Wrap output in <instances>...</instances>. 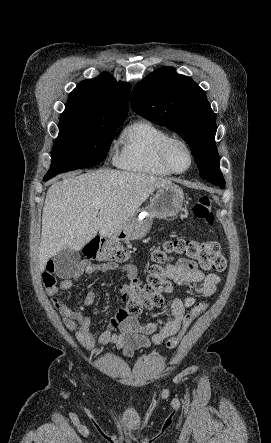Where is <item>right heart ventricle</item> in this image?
I'll use <instances>...</instances> for the list:
<instances>
[{
    "label": "right heart ventricle",
    "mask_w": 271,
    "mask_h": 443,
    "mask_svg": "<svg viewBox=\"0 0 271 443\" xmlns=\"http://www.w3.org/2000/svg\"><path fill=\"white\" fill-rule=\"evenodd\" d=\"M170 134L155 122L140 118L128 125L121 134V148L116 159L119 168L167 177L173 173L160 157V146Z\"/></svg>",
    "instance_id": "e07e8e85"
}]
</instances>
